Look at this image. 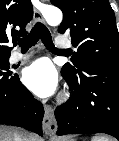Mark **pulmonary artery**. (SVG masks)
<instances>
[{
	"mask_svg": "<svg viewBox=\"0 0 119 141\" xmlns=\"http://www.w3.org/2000/svg\"><path fill=\"white\" fill-rule=\"evenodd\" d=\"M56 45L59 48H68L70 46V44L68 42L63 41V40H58ZM32 55H33L32 52H27L24 54H22L20 52H15L11 56V62L17 63V62L25 61V60L29 59Z\"/></svg>",
	"mask_w": 119,
	"mask_h": 141,
	"instance_id": "obj_1",
	"label": "pulmonary artery"
}]
</instances>
